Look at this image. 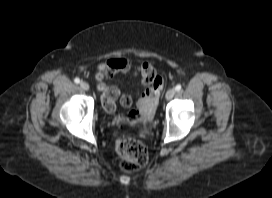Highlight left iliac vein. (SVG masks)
<instances>
[{"label":"left iliac vein","instance_id":"left-iliac-vein-1","mask_svg":"<svg viewBox=\"0 0 272 198\" xmlns=\"http://www.w3.org/2000/svg\"><path fill=\"white\" fill-rule=\"evenodd\" d=\"M176 93V90L174 88H170L167 92H166V95H165V98L166 100H170L174 97Z\"/></svg>","mask_w":272,"mask_h":198}]
</instances>
